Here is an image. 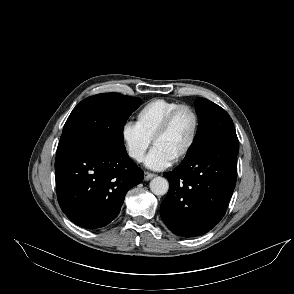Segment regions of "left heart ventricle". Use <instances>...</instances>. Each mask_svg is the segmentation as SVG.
<instances>
[{"label":"left heart ventricle","mask_w":294,"mask_h":294,"mask_svg":"<svg viewBox=\"0 0 294 294\" xmlns=\"http://www.w3.org/2000/svg\"><path fill=\"white\" fill-rule=\"evenodd\" d=\"M194 119L189 111H181L169 130L155 143L167 155L175 158L185 149L193 132Z\"/></svg>","instance_id":"obj_1"}]
</instances>
